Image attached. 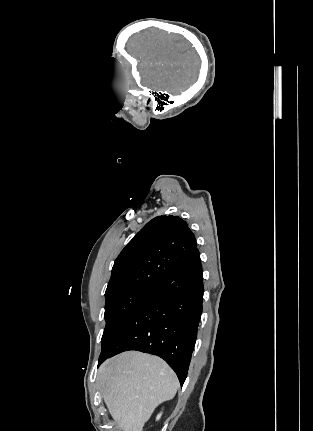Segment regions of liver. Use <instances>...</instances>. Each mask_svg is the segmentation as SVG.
<instances>
[{
  "mask_svg": "<svg viewBox=\"0 0 313 431\" xmlns=\"http://www.w3.org/2000/svg\"><path fill=\"white\" fill-rule=\"evenodd\" d=\"M98 377L104 402L122 431H142L155 408L179 388L164 360L135 351L105 361Z\"/></svg>",
  "mask_w": 313,
  "mask_h": 431,
  "instance_id": "1",
  "label": "liver"
}]
</instances>
